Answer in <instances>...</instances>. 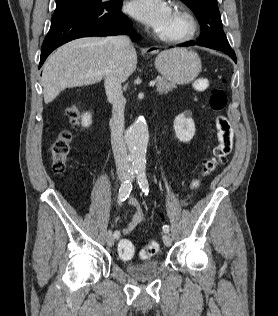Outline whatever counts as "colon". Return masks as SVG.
<instances>
[{"instance_id":"5ec220e1","label":"colon","mask_w":278,"mask_h":316,"mask_svg":"<svg viewBox=\"0 0 278 316\" xmlns=\"http://www.w3.org/2000/svg\"><path fill=\"white\" fill-rule=\"evenodd\" d=\"M195 87L198 90H203L207 87L205 80H198L195 83ZM228 102L227 93L223 89H214L209 97L210 108L217 112L215 118V127L217 131V145L213 149L212 156L207 159L201 170V175L193 180L191 188L196 189L201 183L203 177L208 176L220 165L224 164L227 157L233 148V130L229 120L225 115L221 114ZM66 116L71 124H76L78 119V111L75 107H70L66 110ZM71 132L63 131L50 145V154L52 157V169L53 171L61 175L66 169L67 160L70 154ZM159 251V243L156 240H152L146 248L140 252L142 258H149L155 255ZM118 252L123 259H130L135 252L134 245L129 240H121L118 244Z\"/></svg>"}]
</instances>
